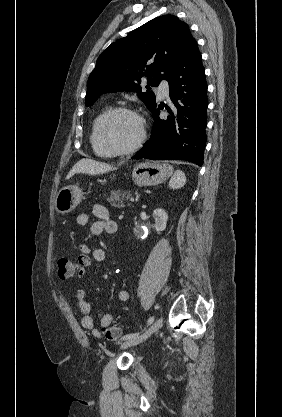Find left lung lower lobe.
<instances>
[{
    "instance_id": "obj_1",
    "label": "left lung lower lobe",
    "mask_w": 282,
    "mask_h": 417,
    "mask_svg": "<svg viewBox=\"0 0 282 417\" xmlns=\"http://www.w3.org/2000/svg\"><path fill=\"white\" fill-rule=\"evenodd\" d=\"M170 100L173 111L166 107L170 116L159 118L155 106L154 125L151 138L132 158L152 160H185L197 165L203 164L206 145L207 125V82L197 42L191 41L167 73Z\"/></svg>"
}]
</instances>
